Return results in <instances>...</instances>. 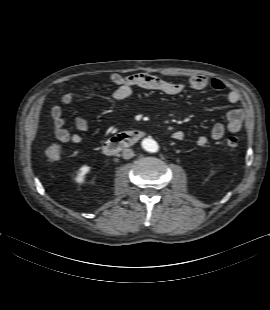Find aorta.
Segmentation results:
<instances>
[{"label": "aorta", "instance_id": "obj_1", "mask_svg": "<svg viewBox=\"0 0 270 310\" xmlns=\"http://www.w3.org/2000/svg\"><path fill=\"white\" fill-rule=\"evenodd\" d=\"M143 148L151 153H155L159 150L157 142L151 138H146L142 141Z\"/></svg>", "mask_w": 270, "mask_h": 310}]
</instances>
